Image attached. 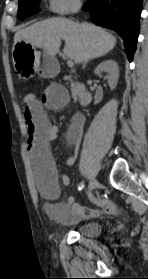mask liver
Listing matches in <instances>:
<instances>
[{"label":"liver","instance_id":"liver-1","mask_svg":"<svg viewBox=\"0 0 148 279\" xmlns=\"http://www.w3.org/2000/svg\"><path fill=\"white\" fill-rule=\"evenodd\" d=\"M65 41L63 53L81 64L89 59L106 55L116 44V38L91 23H75L66 18H51L34 23L16 32L14 44L24 41L44 50L52 57Z\"/></svg>","mask_w":148,"mask_h":279}]
</instances>
